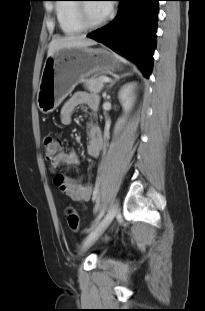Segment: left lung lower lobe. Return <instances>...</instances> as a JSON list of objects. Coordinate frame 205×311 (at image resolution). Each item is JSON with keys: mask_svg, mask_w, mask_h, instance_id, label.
Returning <instances> with one entry per match:
<instances>
[{"mask_svg": "<svg viewBox=\"0 0 205 311\" xmlns=\"http://www.w3.org/2000/svg\"><path fill=\"white\" fill-rule=\"evenodd\" d=\"M119 1L116 18L88 34V37L136 62L148 78L153 62L157 5L160 0Z\"/></svg>", "mask_w": 205, "mask_h": 311, "instance_id": "left-lung-lower-lobe-1", "label": "left lung lower lobe"}]
</instances>
